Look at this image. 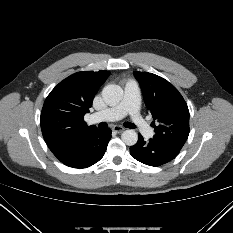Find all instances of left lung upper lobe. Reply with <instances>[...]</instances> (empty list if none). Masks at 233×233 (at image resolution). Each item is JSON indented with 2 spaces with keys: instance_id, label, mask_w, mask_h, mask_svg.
<instances>
[{
  "instance_id": "obj_1",
  "label": "left lung upper lobe",
  "mask_w": 233,
  "mask_h": 233,
  "mask_svg": "<svg viewBox=\"0 0 233 233\" xmlns=\"http://www.w3.org/2000/svg\"><path fill=\"white\" fill-rule=\"evenodd\" d=\"M155 122L153 140L180 149L189 135V110L178 90L152 73L134 72Z\"/></svg>"
}]
</instances>
